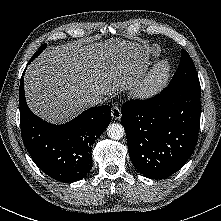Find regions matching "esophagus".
I'll use <instances>...</instances> for the list:
<instances>
[{
	"label": "esophagus",
	"instance_id": "esophagus-1",
	"mask_svg": "<svg viewBox=\"0 0 221 221\" xmlns=\"http://www.w3.org/2000/svg\"><path fill=\"white\" fill-rule=\"evenodd\" d=\"M111 116L116 120H119L121 118V109L117 105H113L111 109Z\"/></svg>",
	"mask_w": 221,
	"mask_h": 221
}]
</instances>
